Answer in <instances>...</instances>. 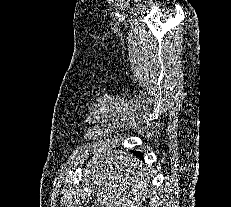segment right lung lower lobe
<instances>
[{
	"instance_id": "1",
	"label": "right lung lower lobe",
	"mask_w": 231,
	"mask_h": 207,
	"mask_svg": "<svg viewBox=\"0 0 231 207\" xmlns=\"http://www.w3.org/2000/svg\"><path fill=\"white\" fill-rule=\"evenodd\" d=\"M134 153H135L137 156H140V157L142 156L141 152L135 151Z\"/></svg>"
}]
</instances>
